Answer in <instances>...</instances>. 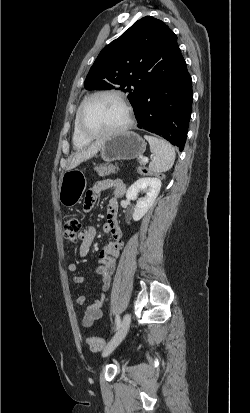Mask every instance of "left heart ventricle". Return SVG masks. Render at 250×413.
I'll use <instances>...</instances> for the list:
<instances>
[{"label":"left heart ventricle","instance_id":"left-heart-ventricle-1","mask_svg":"<svg viewBox=\"0 0 250 413\" xmlns=\"http://www.w3.org/2000/svg\"><path fill=\"white\" fill-rule=\"evenodd\" d=\"M127 119L124 105L113 96H99L91 101L84 115V125L94 133L113 131Z\"/></svg>","mask_w":250,"mask_h":413}]
</instances>
